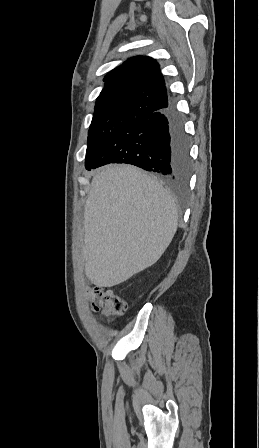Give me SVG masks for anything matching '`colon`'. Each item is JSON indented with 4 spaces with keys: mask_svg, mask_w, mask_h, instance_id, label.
<instances>
[{
    "mask_svg": "<svg viewBox=\"0 0 259 448\" xmlns=\"http://www.w3.org/2000/svg\"><path fill=\"white\" fill-rule=\"evenodd\" d=\"M88 295L92 308L108 319L124 315L127 311L126 302L110 290L93 288Z\"/></svg>",
    "mask_w": 259,
    "mask_h": 448,
    "instance_id": "5ec220e1",
    "label": "colon"
}]
</instances>
